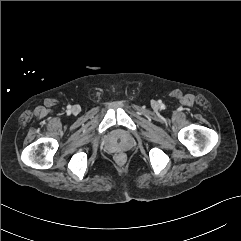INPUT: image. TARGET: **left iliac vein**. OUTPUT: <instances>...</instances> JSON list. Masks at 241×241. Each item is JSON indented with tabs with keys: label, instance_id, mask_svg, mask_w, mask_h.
Masks as SVG:
<instances>
[{
	"label": "left iliac vein",
	"instance_id": "1",
	"mask_svg": "<svg viewBox=\"0 0 241 241\" xmlns=\"http://www.w3.org/2000/svg\"><path fill=\"white\" fill-rule=\"evenodd\" d=\"M153 106H154V107H157V104H156V103H154V104H153Z\"/></svg>",
	"mask_w": 241,
	"mask_h": 241
}]
</instances>
